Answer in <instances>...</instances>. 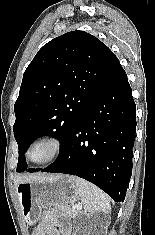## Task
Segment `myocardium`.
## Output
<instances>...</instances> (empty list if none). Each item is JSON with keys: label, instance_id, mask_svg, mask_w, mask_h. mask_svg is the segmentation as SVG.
<instances>
[{"label": "myocardium", "instance_id": "f54148a6", "mask_svg": "<svg viewBox=\"0 0 155 235\" xmlns=\"http://www.w3.org/2000/svg\"><path fill=\"white\" fill-rule=\"evenodd\" d=\"M50 144L53 148L52 153L50 156H48L46 159L42 161H34L31 158V151L33 148L39 144ZM65 151V141L64 139L56 134H47L43 135L41 137H38L37 139L33 140L31 144L29 145L27 151H26V158L29 162L35 164V165H46L49 164L55 160H57L59 157L62 156V154Z\"/></svg>", "mask_w": 155, "mask_h": 235}]
</instances>
